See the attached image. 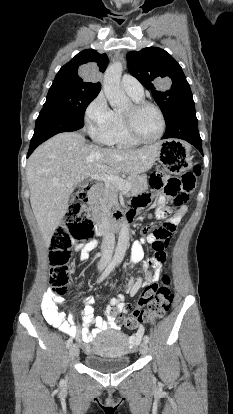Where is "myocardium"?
Listing matches in <instances>:
<instances>
[{"label":"myocardium","mask_w":233,"mask_h":414,"mask_svg":"<svg viewBox=\"0 0 233 414\" xmlns=\"http://www.w3.org/2000/svg\"><path fill=\"white\" fill-rule=\"evenodd\" d=\"M132 108H133V113L139 112V111H141L143 109H146V108L155 109L158 112V114L161 118V130H160L159 134L154 138H151V139L144 138L143 136H141L138 133V131L135 127L133 113H131V114H124L123 113L122 114V120H123V125H124V128H125L127 134L133 140H135L139 143H154V142L158 141L159 139H161L162 136L164 135V133L166 131V127H167L166 117H165L164 112L162 111V109L158 105H156L152 102H149V101H136L132 105Z\"/></svg>","instance_id":"myocardium-1"}]
</instances>
